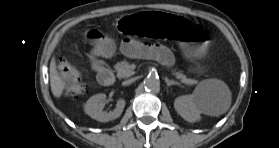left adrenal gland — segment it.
<instances>
[{
	"mask_svg": "<svg viewBox=\"0 0 279 148\" xmlns=\"http://www.w3.org/2000/svg\"><path fill=\"white\" fill-rule=\"evenodd\" d=\"M165 82L167 84L168 87L172 86V85H180V83L174 81V80H169L168 78H165Z\"/></svg>",
	"mask_w": 279,
	"mask_h": 148,
	"instance_id": "obj_1",
	"label": "left adrenal gland"
}]
</instances>
